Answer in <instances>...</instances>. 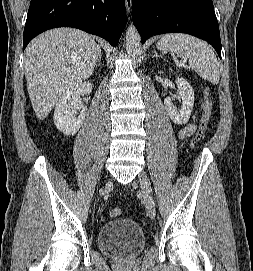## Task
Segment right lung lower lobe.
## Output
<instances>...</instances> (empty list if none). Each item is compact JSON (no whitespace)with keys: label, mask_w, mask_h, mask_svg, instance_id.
<instances>
[{"label":"right lung lower lobe","mask_w":253,"mask_h":271,"mask_svg":"<svg viewBox=\"0 0 253 271\" xmlns=\"http://www.w3.org/2000/svg\"><path fill=\"white\" fill-rule=\"evenodd\" d=\"M126 26L124 0H31L23 50L38 34L54 27H74L116 46Z\"/></svg>","instance_id":"98d812e1"}]
</instances>
